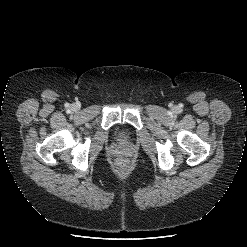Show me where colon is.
Listing matches in <instances>:
<instances>
[{
    "label": "colon",
    "mask_w": 247,
    "mask_h": 247,
    "mask_svg": "<svg viewBox=\"0 0 247 247\" xmlns=\"http://www.w3.org/2000/svg\"><path fill=\"white\" fill-rule=\"evenodd\" d=\"M116 167L120 171H126L130 167V163L127 159H119L116 163Z\"/></svg>",
    "instance_id": "obj_1"
}]
</instances>
